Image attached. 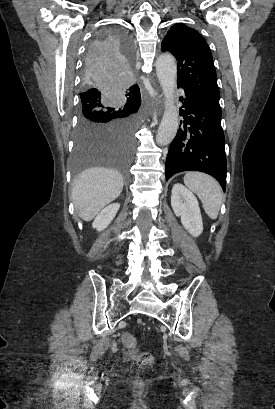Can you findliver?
Here are the masks:
<instances>
[{"mask_svg":"<svg viewBox=\"0 0 275 409\" xmlns=\"http://www.w3.org/2000/svg\"><path fill=\"white\" fill-rule=\"evenodd\" d=\"M123 176L115 168L92 166L80 172L72 186L76 211L83 221H92L99 211L122 192Z\"/></svg>","mask_w":275,"mask_h":409,"instance_id":"1","label":"liver"}]
</instances>
